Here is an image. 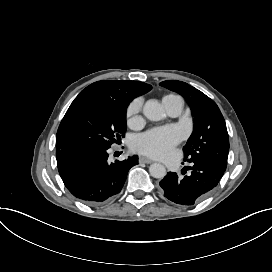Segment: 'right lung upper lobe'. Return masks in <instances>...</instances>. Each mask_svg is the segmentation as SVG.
<instances>
[{
  "mask_svg": "<svg viewBox=\"0 0 272 272\" xmlns=\"http://www.w3.org/2000/svg\"><path fill=\"white\" fill-rule=\"evenodd\" d=\"M151 88V85L139 81H97L82 90L76 98L97 97L129 104L134 97L147 93Z\"/></svg>",
  "mask_w": 272,
  "mask_h": 272,
  "instance_id": "right-lung-upper-lobe-1",
  "label": "right lung upper lobe"
}]
</instances>
